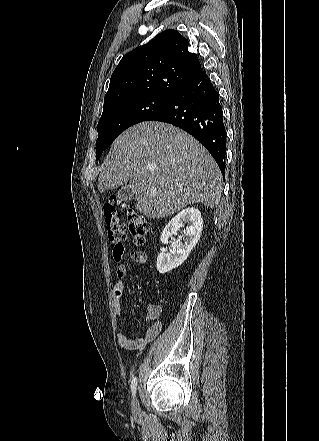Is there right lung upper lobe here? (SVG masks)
I'll return each mask as SVG.
<instances>
[{"mask_svg":"<svg viewBox=\"0 0 319 441\" xmlns=\"http://www.w3.org/2000/svg\"><path fill=\"white\" fill-rule=\"evenodd\" d=\"M179 32L166 30L126 54L113 72L103 110L129 100L157 96L172 98L203 70Z\"/></svg>","mask_w":319,"mask_h":441,"instance_id":"right-lung-upper-lobe-1","label":"right lung upper lobe"}]
</instances>
